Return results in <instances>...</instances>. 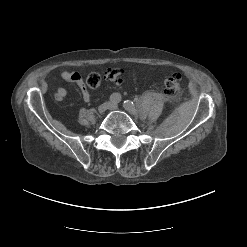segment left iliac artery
<instances>
[{
	"label": "left iliac artery",
	"instance_id": "1",
	"mask_svg": "<svg viewBox=\"0 0 247 247\" xmlns=\"http://www.w3.org/2000/svg\"><path fill=\"white\" fill-rule=\"evenodd\" d=\"M123 107H124L126 110H128L129 113L132 114V115L135 114L136 111H137L136 107L134 106V103H133L132 101H130V100H125V101L123 102Z\"/></svg>",
	"mask_w": 247,
	"mask_h": 247
}]
</instances>
